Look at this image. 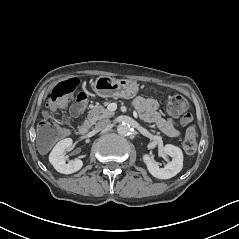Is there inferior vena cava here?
Listing matches in <instances>:
<instances>
[{
	"mask_svg": "<svg viewBox=\"0 0 239 239\" xmlns=\"http://www.w3.org/2000/svg\"><path fill=\"white\" fill-rule=\"evenodd\" d=\"M110 125H111V121L109 119H103V120H100L95 125V128L99 131H102V130L109 128Z\"/></svg>",
	"mask_w": 239,
	"mask_h": 239,
	"instance_id": "1",
	"label": "inferior vena cava"
}]
</instances>
